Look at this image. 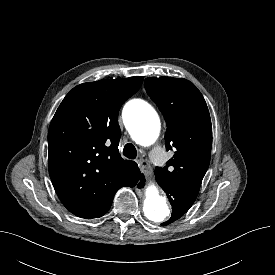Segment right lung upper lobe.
Masks as SVG:
<instances>
[{"label":"right lung upper lobe","mask_w":275,"mask_h":275,"mask_svg":"<svg viewBox=\"0 0 275 275\" xmlns=\"http://www.w3.org/2000/svg\"><path fill=\"white\" fill-rule=\"evenodd\" d=\"M142 81L130 77L80 84L66 95L51 121L50 177L63 205L78 217L103 216L137 168L119 154L118 112Z\"/></svg>","instance_id":"1"}]
</instances>
